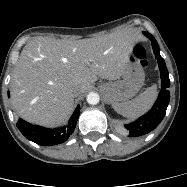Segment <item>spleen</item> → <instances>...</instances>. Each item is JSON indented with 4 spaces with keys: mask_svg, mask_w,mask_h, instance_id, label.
I'll return each instance as SVG.
<instances>
[{
    "mask_svg": "<svg viewBox=\"0 0 187 187\" xmlns=\"http://www.w3.org/2000/svg\"><path fill=\"white\" fill-rule=\"evenodd\" d=\"M157 97V86L148 87L143 93L131 101L114 103L113 109L127 118H136L148 111Z\"/></svg>",
    "mask_w": 187,
    "mask_h": 187,
    "instance_id": "obj_1",
    "label": "spleen"
}]
</instances>
